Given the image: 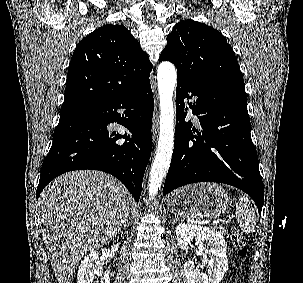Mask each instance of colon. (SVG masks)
Wrapping results in <instances>:
<instances>
[{
  "mask_svg": "<svg viewBox=\"0 0 303 283\" xmlns=\"http://www.w3.org/2000/svg\"><path fill=\"white\" fill-rule=\"evenodd\" d=\"M232 242H233V247L236 250L237 254L240 257L246 256L247 243L245 237L241 233L236 232L232 236Z\"/></svg>",
  "mask_w": 303,
  "mask_h": 283,
  "instance_id": "colon-1",
  "label": "colon"
}]
</instances>
